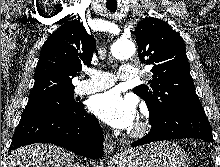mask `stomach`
<instances>
[{
	"label": "stomach",
	"mask_w": 220,
	"mask_h": 167,
	"mask_svg": "<svg viewBox=\"0 0 220 167\" xmlns=\"http://www.w3.org/2000/svg\"><path fill=\"white\" fill-rule=\"evenodd\" d=\"M118 162L120 167H190L185 151L169 141L128 149Z\"/></svg>",
	"instance_id": "stomach-1"
}]
</instances>
